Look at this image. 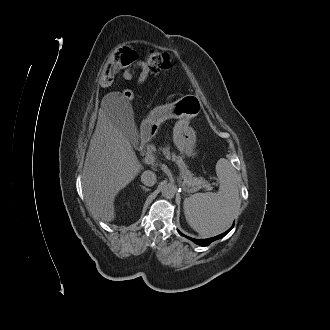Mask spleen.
<instances>
[{
  "instance_id": "3e777b00",
  "label": "spleen",
  "mask_w": 330,
  "mask_h": 330,
  "mask_svg": "<svg viewBox=\"0 0 330 330\" xmlns=\"http://www.w3.org/2000/svg\"><path fill=\"white\" fill-rule=\"evenodd\" d=\"M216 174L220 183L217 193H196L183 203L188 224L205 238L229 227L240 208L236 170L227 159L221 158L216 164Z\"/></svg>"
}]
</instances>
